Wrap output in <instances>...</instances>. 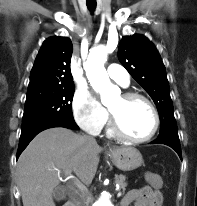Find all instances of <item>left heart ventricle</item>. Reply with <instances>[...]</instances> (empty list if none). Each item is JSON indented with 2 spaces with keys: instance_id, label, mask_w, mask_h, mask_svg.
<instances>
[{
  "instance_id": "1",
  "label": "left heart ventricle",
  "mask_w": 197,
  "mask_h": 206,
  "mask_svg": "<svg viewBox=\"0 0 197 206\" xmlns=\"http://www.w3.org/2000/svg\"><path fill=\"white\" fill-rule=\"evenodd\" d=\"M109 109L124 131L133 137H145L153 128L152 111L142 100H124L119 96L109 104Z\"/></svg>"
}]
</instances>
